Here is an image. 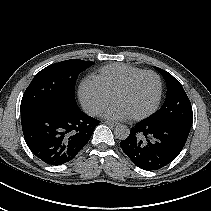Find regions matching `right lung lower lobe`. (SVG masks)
I'll return each mask as SVG.
<instances>
[{"mask_svg":"<svg viewBox=\"0 0 211 211\" xmlns=\"http://www.w3.org/2000/svg\"><path fill=\"white\" fill-rule=\"evenodd\" d=\"M99 123L79 108H44L21 113L23 135L29 149L50 165L71 161L87 144Z\"/></svg>","mask_w":211,"mask_h":211,"instance_id":"98d812e1","label":"right lung lower lobe"}]
</instances>
